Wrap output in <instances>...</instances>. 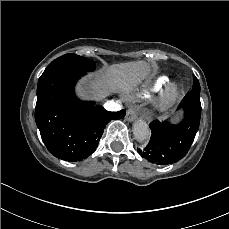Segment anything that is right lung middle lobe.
<instances>
[{
    "label": "right lung middle lobe",
    "mask_w": 229,
    "mask_h": 229,
    "mask_svg": "<svg viewBox=\"0 0 229 229\" xmlns=\"http://www.w3.org/2000/svg\"><path fill=\"white\" fill-rule=\"evenodd\" d=\"M94 69L95 62L93 60L76 54H65L55 59L48 65V67L39 78L38 82L60 71L78 70L83 72H89L93 71Z\"/></svg>",
    "instance_id": "1"
}]
</instances>
